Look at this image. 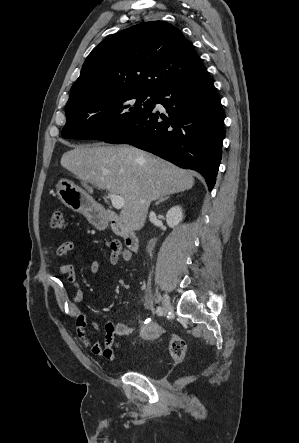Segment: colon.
Masks as SVG:
<instances>
[{
  "instance_id": "colon-1",
  "label": "colon",
  "mask_w": 299,
  "mask_h": 443,
  "mask_svg": "<svg viewBox=\"0 0 299 443\" xmlns=\"http://www.w3.org/2000/svg\"><path fill=\"white\" fill-rule=\"evenodd\" d=\"M50 226L53 229L58 230L65 228V219L61 211H55L52 213L50 218ZM107 246L112 262L117 263L121 260L130 259V253L122 248L119 241H109ZM128 325L132 329L133 333L142 340H155L166 333L163 328L149 320L135 319L132 320ZM169 352L175 361H183L186 357V343L184 339L177 335H170Z\"/></svg>"
}]
</instances>
